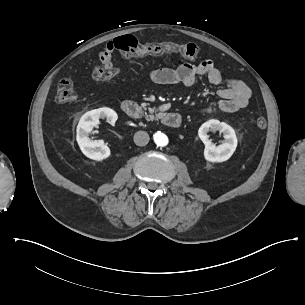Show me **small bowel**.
Here are the masks:
<instances>
[{"mask_svg":"<svg viewBox=\"0 0 305 305\" xmlns=\"http://www.w3.org/2000/svg\"><path fill=\"white\" fill-rule=\"evenodd\" d=\"M102 63L111 66L115 56L114 44L107 42L101 48ZM205 76L214 85L223 84L225 87L218 90L220 101L215 106H207L201 113H210L213 110L235 112L247 106L251 97L250 87L243 81L234 78H224L221 71L211 59H205L198 64H181L176 68H159L149 72L152 82L159 85H193L199 77Z\"/></svg>","mask_w":305,"mask_h":305,"instance_id":"1","label":"small bowel"}]
</instances>
